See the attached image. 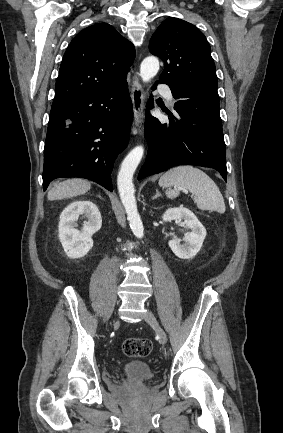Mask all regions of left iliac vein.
Here are the masks:
<instances>
[{
	"label": "left iliac vein",
	"instance_id": "1",
	"mask_svg": "<svg viewBox=\"0 0 283 433\" xmlns=\"http://www.w3.org/2000/svg\"><path fill=\"white\" fill-rule=\"evenodd\" d=\"M144 318H145V321L154 328L160 341L165 344L168 340L166 332L161 328V326L159 325L154 314L150 310H147L145 315H144Z\"/></svg>",
	"mask_w": 283,
	"mask_h": 433
}]
</instances>
